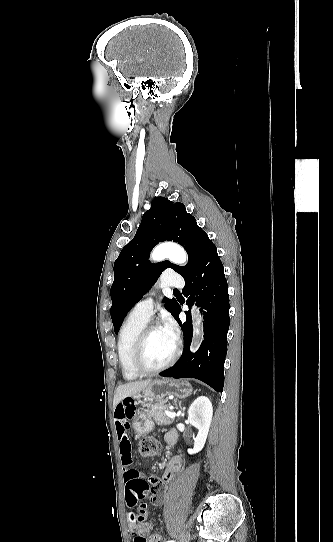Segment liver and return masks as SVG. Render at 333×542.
Here are the masks:
<instances>
[{
  "label": "liver",
  "instance_id": "obj_1",
  "mask_svg": "<svg viewBox=\"0 0 333 542\" xmlns=\"http://www.w3.org/2000/svg\"><path fill=\"white\" fill-rule=\"evenodd\" d=\"M152 380H142V382H128V384H123V386H118L115 394H114V400H113V408L115 410L117 404L119 402H122L124 398H129V396H136V394H140V392H143L149 384H151Z\"/></svg>",
  "mask_w": 333,
  "mask_h": 542
}]
</instances>
